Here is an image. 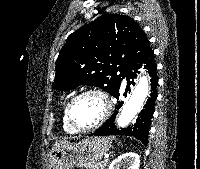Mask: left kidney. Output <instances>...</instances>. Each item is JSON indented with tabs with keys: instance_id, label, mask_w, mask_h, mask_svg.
I'll use <instances>...</instances> for the list:
<instances>
[{
	"instance_id": "1",
	"label": "left kidney",
	"mask_w": 200,
	"mask_h": 169,
	"mask_svg": "<svg viewBox=\"0 0 200 169\" xmlns=\"http://www.w3.org/2000/svg\"><path fill=\"white\" fill-rule=\"evenodd\" d=\"M123 164L127 165V169H139L140 156L133 152L122 154L111 162L108 169H120Z\"/></svg>"
}]
</instances>
